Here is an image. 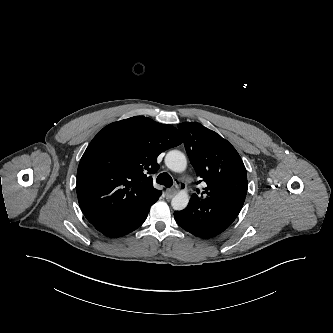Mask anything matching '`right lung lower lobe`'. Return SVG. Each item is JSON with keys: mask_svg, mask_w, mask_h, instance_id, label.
<instances>
[{"mask_svg": "<svg viewBox=\"0 0 333 333\" xmlns=\"http://www.w3.org/2000/svg\"><path fill=\"white\" fill-rule=\"evenodd\" d=\"M150 207H147L137 213L110 219H100L91 221L94 227L109 237H120L126 235L143 224L147 218Z\"/></svg>", "mask_w": 333, "mask_h": 333, "instance_id": "98d812e1", "label": "right lung lower lobe"}]
</instances>
